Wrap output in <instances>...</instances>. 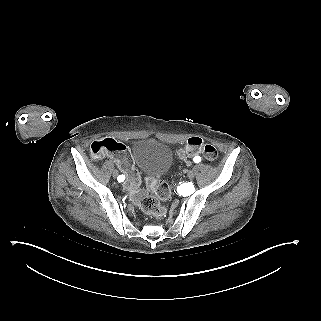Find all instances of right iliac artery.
<instances>
[{
    "label": "right iliac artery",
    "instance_id": "obj_1",
    "mask_svg": "<svg viewBox=\"0 0 321 321\" xmlns=\"http://www.w3.org/2000/svg\"><path fill=\"white\" fill-rule=\"evenodd\" d=\"M124 179H125V176H124V175H120V176L118 177V181H120V182L124 181Z\"/></svg>",
    "mask_w": 321,
    "mask_h": 321
}]
</instances>
